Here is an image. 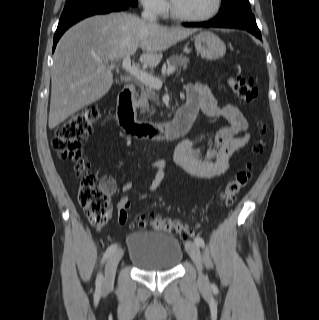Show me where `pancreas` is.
Wrapping results in <instances>:
<instances>
[{
	"instance_id": "pancreas-1",
	"label": "pancreas",
	"mask_w": 319,
	"mask_h": 320,
	"mask_svg": "<svg viewBox=\"0 0 319 320\" xmlns=\"http://www.w3.org/2000/svg\"><path fill=\"white\" fill-rule=\"evenodd\" d=\"M189 62V58L183 55H172L169 58L170 66L175 68L183 67V69H186ZM155 104H159V97L155 89L149 86L142 87L141 95L136 103L137 107L141 109L142 113L148 112L152 114Z\"/></svg>"
}]
</instances>
